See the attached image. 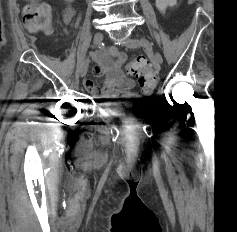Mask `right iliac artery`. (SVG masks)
<instances>
[{
  "instance_id": "obj_1",
  "label": "right iliac artery",
  "mask_w": 237,
  "mask_h": 232,
  "mask_svg": "<svg viewBox=\"0 0 237 232\" xmlns=\"http://www.w3.org/2000/svg\"><path fill=\"white\" fill-rule=\"evenodd\" d=\"M102 45H103V44H102ZM102 45H99V46H98V48H101V47H102Z\"/></svg>"
}]
</instances>
